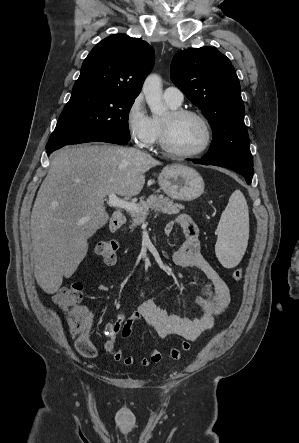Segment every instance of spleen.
<instances>
[{"mask_svg": "<svg viewBox=\"0 0 299 443\" xmlns=\"http://www.w3.org/2000/svg\"><path fill=\"white\" fill-rule=\"evenodd\" d=\"M215 252L225 268H233L241 261L249 239V212L240 190L233 192L223 211L218 227Z\"/></svg>", "mask_w": 299, "mask_h": 443, "instance_id": "3e777b00", "label": "spleen"}]
</instances>
